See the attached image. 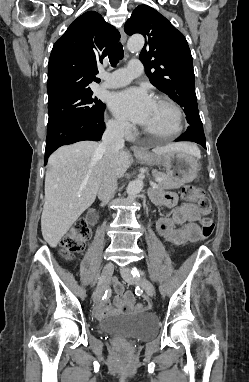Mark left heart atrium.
I'll use <instances>...</instances> for the list:
<instances>
[{
  "instance_id": "39dd6f15",
  "label": "left heart atrium",
  "mask_w": 249,
  "mask_h": 382,
  "mask_svg": "<svg viewBox=\"0 0 249 382\" xmlns=\"http://www.w3.org/2000/svg\"><path fill=\"white\" fill-rule=\"evenodd\" d=\"M155 104L148 90L132 87L112 95L109 101L111 110L120 118L137 124H144Z\"/></svg>"
}]
</instances>
